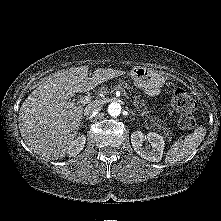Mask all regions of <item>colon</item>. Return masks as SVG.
I'll return each instance as SVG.
<instances>
[{
  "label": "colon",
  "mask_w": 221,
  "mask_h": 221,
  "mask_svg": "<svg viewBox=\"0 0 221 221\" xmlns=\"http://www.w3.org/2000/svg\"><path fill=\"white\" fill-rule=\"evenodd\" d=\"M173 104L183 112L180 118V126L184 129H192L195 126V118L192 112L196 105L188 92L183 88H178L173 96Z\"/></svg>",
  "instance_id": "1"
}]
</instances>
